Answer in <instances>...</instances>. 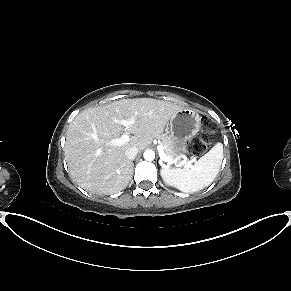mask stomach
Segmentation results:
<instances>
[{
  "label": "stomach",
  "mask_w": 291,
  "mask_h": 291,
  "mask_svg": "<svg viewBox=\"0 0 291 291\" xmlns=\"http://www.w3.org/2000/svg\"><path fill=\"white\" fill-rule=\"evenodd\" d=\"M201 125V116L196 110L184 109L170 119L169 138L173 157L186 152V143L197 134Z\"/></svg>",
  "instance_id": "0dacf381"
}]
</instances>
